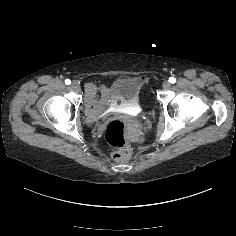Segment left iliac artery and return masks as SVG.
Returning <instances> with one entry per match:
<instances>
[{"label":"left iliac artery","instance_id":"obj_1","mask_svg":"<svg viewBox=\"0 0 236 236\" xmlns=\"http://www.w3.org/2000/svg\"><path fill=\"white\" fill-rule=\"evenodd\" d=\"M169 82L172 83V84H174V83L176 82V79H175L174 77H170V78H169Z\"/></svg>","mask_w":236,"mask_h":236}]
</instances>
